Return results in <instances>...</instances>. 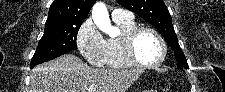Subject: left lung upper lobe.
I'll list each match as a JSON object with an SVG mask.
<instances>
[{
	"mask_svg": "<svg viewBox=\"0 0 225 92\" xmlns=\"http://www.w3.org/2000/svg\"><path fill=\"white\" fill-rule=\"evenodd\" d=\"M117 2L144 18L162 34L168 45L174 50L177 68H189L185 55L178 44L171 15L163 0H117Z\"/></svg>",
	"mask_w": 225,
	"mask_h": 92,
	"instance_id": "obj_1",
	"label": "left lung upper lobe"
}]
</instances>
